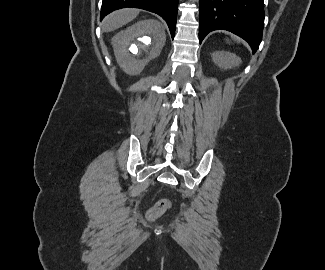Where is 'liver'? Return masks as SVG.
Wrapping results in <instances>:
<instances>
[{
	"instance_id": "1",
	"label": "liver",
	"mask_w": 325,
	"mask_h": 270,
	"mask_svg": "<svg viewBox=\"0 0 325 270\" xmlns=\"http://www.w3.org/2000/svg\"><path fill=\"white\" fill-rule=\"evenodd\" d=\"M139 14L138 9H122L109 14L103 21L105 32L114 31L131 22Z\"/></svg>"
}]
</instances>
